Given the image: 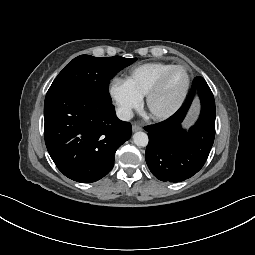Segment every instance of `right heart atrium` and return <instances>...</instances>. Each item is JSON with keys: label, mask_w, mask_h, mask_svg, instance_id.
Wrapping results in <instances>:
<instances>
[{"label": "right heart atrium", "mask_w": 255, "mask_h": 255, "mask_svg": "<svg viewBox=\"0 0 255 255\" xmlns=\"http://www.w3.org/2000/svg\"><path fill=\"white\" fill-rule=\"evenodd\" d=\"M109 94L123 118H129L132 111L138 108L142 101V97L130 87L127 81L119 78H114L110 82Z\"/></svg>", "instance_id": "right-heart-atrium-1"}]
</instances>
